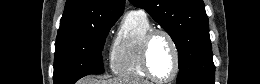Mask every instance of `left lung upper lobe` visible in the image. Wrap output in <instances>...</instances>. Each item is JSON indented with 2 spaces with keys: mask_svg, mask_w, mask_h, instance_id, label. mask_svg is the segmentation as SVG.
<instances>
[{
  "mask_svg": "<svg viewBox=\"0 0 260 84\" xmlns=\"http://www.w3.org/2000/svg\"><path fill=\"white\" fill-rule=\"evenodd\" d=\"M145 9L174 41L179 56L177 84H214L209 23L202 0H130Z\"/></svg>",
  "mask_w": 260,
  "mask_h": 84,
  "instance_id": "1",
  "label": "left lung upper lobe"
}]
</instances>
